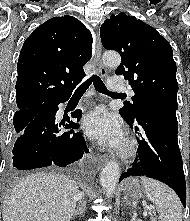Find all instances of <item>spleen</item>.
<instances>
[{
    "mask_svg": "<svg viewBox=\"0 0 190 221\" xmlns=\"http://www.w3.org/2000/svg\"><path fill=\"white\" fill-rule=\"evenodd\" d=\"M146 196L156 206L161 221H182V205L176 193L161 182L142 177Z\"/></svg>",
    "mask_w": 190,
    "mask_h": 221,
    "instance_id": "spleen-1",
    "label": "spleen"
}]
</instances>
